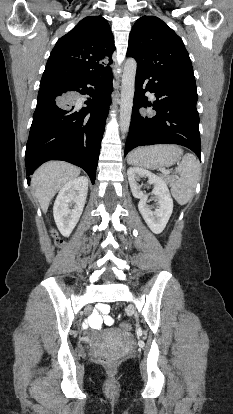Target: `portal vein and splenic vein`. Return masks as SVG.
I'll return each instance as SVG.
<instances>
[{"mask_svg":"<svg viewBox=\"0 0 233 414\" xmlns=\"http://www.w3.org/2000/svg\"><path fill=\"white\" fill-rule=\"evenodd\" d=\"M162 172H164V173H169V171H167V170H165V169H162Z\"/></svg>","mask_w":233,"mask_h":414,"instance_id":"18ae733b","label":"portal vein and splenic vein"}]
</instances>
